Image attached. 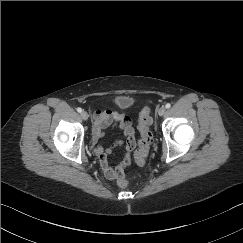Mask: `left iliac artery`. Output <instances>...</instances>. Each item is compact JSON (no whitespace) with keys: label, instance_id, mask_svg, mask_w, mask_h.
Wrapping results in <instances>:
<instances>
[{"label":"left iliac artery","instance_id":"left-iliac-artery-1","mask_svg":"<svg viewBox=\"0 0 243 243\" xmlns=\"http://www.w3.org/2000/svg\"><path fill=\"white\" fill-rule=\"evenodd\" d=\"M165 107H166L167 109H169V108L171 107V104H170V103H167V104L165 105Z\"/></svg>","mask_w":243,"mask_h":243}]
</instances>
